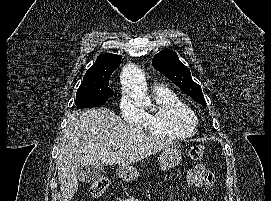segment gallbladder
Masks as SVG:
<instances>
[{
	"mask_svg": "<svg viewBox=\"0 0 271 201\" xmlns=\"http://www.w3.org/2000/svg\"><path fill=\"white\" fill-rule=\"evenodd\" d=\"M76 173L79 181L93 184L101 181L104 178L106 171L101 166L82 164L78 166Z\"/></svg>",
	"mask_w": 271,
	"mask_h": 201,
	"instance_id": "1",
	"label": "gallbladder"
}]
</instances>
